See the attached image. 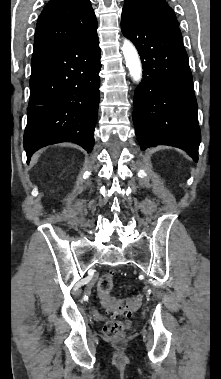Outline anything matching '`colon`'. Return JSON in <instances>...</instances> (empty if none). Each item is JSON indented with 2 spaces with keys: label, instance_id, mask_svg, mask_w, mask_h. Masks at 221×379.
I'll return each mask as SVG.
<instances>
[{
  "label": "colon",
  "instance_id": "5ec220e1",
  "mask_svg": "<svg viewBox=\"0 0 221 379\" xmlns=\"http://www.w3.org/2000/svg\"><path fill=\"white\" fill-rule=\"evenodd\" d=\"M97 288L100 303L111 315L129 316L140 305L141 298L139 296L116 299L111 295L113 288L112 273L103 274L98 281ZM128 327V321L110 320L105 323L103 333L107 339L116 340L124 337Z\"/></svg>",
  "mask_w": 221,
  "mask_h": 379
}]
</instances>
